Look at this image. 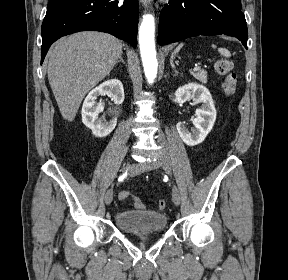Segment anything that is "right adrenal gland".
I'll list each match as a JSON object with an SVG mask.
<instances>
[{
	"label": "right adrenal gland",
	"instance_id": "2a0ac1e0",
	"mask_svg": "<svg viewBox=\"0 0 288 280\" xmlns=\"http://www.w3.org/2000/svg\"><path fill=\"white\" fill-rule=\"evenodd\" d=\"M119 62H122V63L125 65V61H124L122 55H120L119 60L117 61V64H118Z\"/></svg>",
	"mask_w": 288,
	"mask_h": 280
}]
</instances>
